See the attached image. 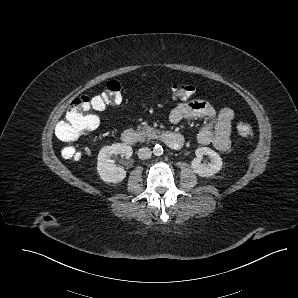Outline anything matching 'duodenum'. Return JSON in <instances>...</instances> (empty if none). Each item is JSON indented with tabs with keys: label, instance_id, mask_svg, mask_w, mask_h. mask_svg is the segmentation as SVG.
Returning a JSON list of instances; mask_svg holds the SVG:
<instances>
[{
	"label": "duodenum",
	"instance_id": "1",
	"mask_svg": "<svg viewBox=\"0 0 298 298\" xmlns=\"http://www.w3.org/2000/svg\"><path fill=\"white\" fill-rule=\"evenodd\" d=\"M159 138L172 149H180L183 145V137L176 132H162L159 134ZM121 139L124 144L133 146L142 141V136L133 129H126L122 132Z\"/></svg>",
	"mask_w": 298,
	"mask_h": 298
}]
</instances>
